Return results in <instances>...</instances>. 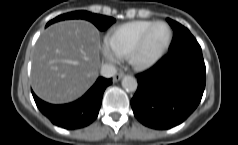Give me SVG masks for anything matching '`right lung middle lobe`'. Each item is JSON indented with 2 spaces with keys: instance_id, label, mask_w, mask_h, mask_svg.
Listing matches in <instances>:
<instances>
[{
  "instance_id": "1",
  "label": "right lung middle lobe",
  "mask_w": 238,
  "mask_h": 145,
  "mask_svg": "<svg viewBox=\"0 0 238 145\" xmlns=\"http://www.w3.org/2000/svg\"><path fill=\"white\" fill-rule=\"evenodd\" d=\"M66 19L88 20L92 22L101 31L107 29L112 23L115 22V19L112 17L94 14L88 11H74V12L66 13L54 18L53 20L47 23L46 27L52 23H55L60 20H66Z\"/></svg>"
}]
</instances>
